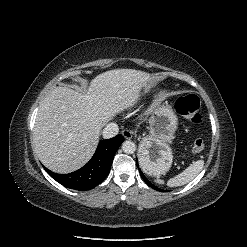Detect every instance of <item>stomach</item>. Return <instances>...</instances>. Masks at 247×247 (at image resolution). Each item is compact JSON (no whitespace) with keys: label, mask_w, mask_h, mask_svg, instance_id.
Listing matches in <instances>:
<instances>
[{"label":"stomach","mask_w":247,"mask_h":247,"mask_svg":"<svg viewBox=\"0 0 247 247\" xmlns=\"http://www.w3.org/2000/svg\"><path fill=\"white\" fill-rule=\"evenodd\" d=\"M149 122L150 134L140 142L138 161L146 174L159 177L169 171L173 162L170 144L175 138L178 119L170 106L156 104Z\"/></svg>","instance_id":"1"}]
</instances>
